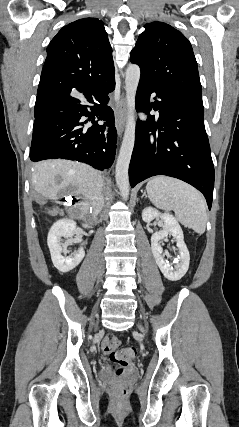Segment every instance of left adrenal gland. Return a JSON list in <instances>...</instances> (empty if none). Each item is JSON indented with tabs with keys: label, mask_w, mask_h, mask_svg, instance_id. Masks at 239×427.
I'll list each match as a JSON object with an SVG mask.
<instances>
[{
	"label": "left adrenal gland",
	"mask_w": 239,
	"mask_h": 427,
	"mask_svg": "<svg viewBox=\"0 0 239 427\" xmlns=\"http://www.w3.org/2000/svg\"><path fill=\"white\" fill-rule=\"evenodd\" d=\"M143 197L147 198L146 191L143 192L142 198Z\"/></svg>",
	"instance_id": "a2214340"
}]
</instances>
